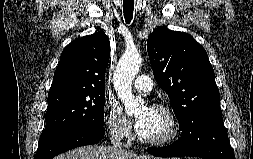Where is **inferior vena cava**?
<instances>
[{"mask_svg": "<svg viewBox=\"0 0 253 159\" xmlns=\"http://www.w3.org/2000/svg\"><path fill=\"white\" fill-rule=\"evenodd\" d=\"M111 143H112V149L117 150L122 152L123 151V142L120 138V136L117 133H112V138H111Z\"/></svg>", "mask_w": 253, "mask_h": 159, "instance_id": "1", "label": "inferior vena cava"}]
</instances>
